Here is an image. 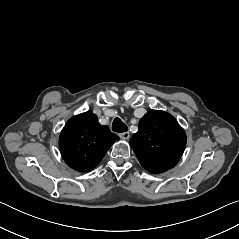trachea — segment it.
Listing matches in <instances>:
<instances>
[{
  "label": "trachea",
  "instance_id": "obj_1",
  "mask_svg": "<svg viewBox=\"0 0 239 239\" xmlns=\"http://www.w3.org/2000/svg\"><path fill=\"white\" fill-rule=\"evenodd\" d=\"M112 130L114 132H126L128 131V127L126 126V124H124L120 118L116 117L114 120H113V123H112Z\"/></svg>",
  "mask_w": 239,
  "mask_h": 239
}]
</instances>
